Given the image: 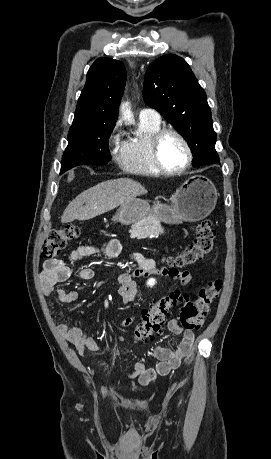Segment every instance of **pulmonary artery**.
<instances>
[{
	"label": "pulmonary artery",
	"mask_w": 271,
	"mask_h": 459,
	"mask_svg": "<svg viewBox=\"0 0 271 459\" xmlns=\"http://www.w3.org/2000/svg\"><path fill=\"white\" fill-rule=\"evenodd\" d=\"M139 117L140 119H145L153 122H159L161 119L159 113L153 109H142L139 113Z\"/></svg>",
	"instance_id": "pulmonary-artery-1"
}]
</instances>
